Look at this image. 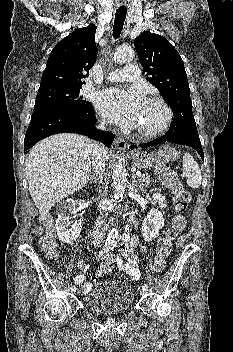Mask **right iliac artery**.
Wrapping results in <instances>:
<instances>
[{"instance_id":"82829eb1","label":"right iliac artery","mask_w":233,"mask_h":352,"mask_svg":"<svg viewBox=\"0 0 233 352\" xmlns=\"http://www.w3.org/2000/svg\"><path fill=\"white\" fill-rule=\"evenodd\" d=\"M109 249H110V246L105 247L103 250H101V251L99 252L98 257L100 258L101 256H103L105 253H107V252L109 251ZM71 290H72V291H75V290H76V287H75V286H72V287H71Z\"/></svg>"}]
</instances>
